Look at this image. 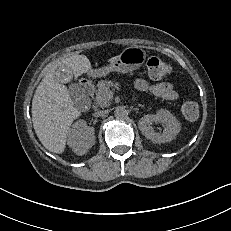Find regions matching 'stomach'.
Masks as SVG:
<instances>
[{"label":"stomach","instance_id":"obj_1","mask_svg":"<svg viewBox=\"0 0 231 231\" xmlns=\"http://www.w3.org/2000/svg\"><path fill=\"white\" fill-rule=\"evenodd\" d=\"M146 59V52L138 46L125 48L108 66L92 70L94 77L106 76L110 72L128 73L139 69Z\"/></svg>","mask_w":231,"mask_h":231}]
</instances>
